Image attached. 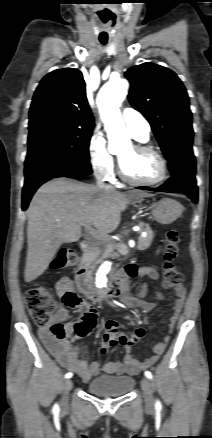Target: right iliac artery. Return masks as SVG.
I'll return each mask as SVG.
<instances>
[{"label":"right iliac artery","mask_w":212,"mask_h":438,"mask_svg":"<svg viewBox=\"0 0 212 438\" xmlns=\"http://www.w3.org/2000/svg\"><path fill=\"white\" fill-rule=\"evenodd\" d=\"M72 376H73V374L71 372L65 374V378H71ZM53 410L54 411H58L59 410V407H58L57 404L54 405Z\"/></svg>","instance_id":"obj_1"}]
</instances>
